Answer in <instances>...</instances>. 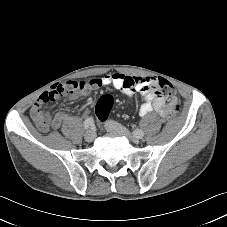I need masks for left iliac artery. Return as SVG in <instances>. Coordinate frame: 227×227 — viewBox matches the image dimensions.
Listing matches in <instances>:
<instances>
[{
    "label": "left iliac artery",
    "mask_w": 227,
    "mask_h": 227,
    "mask_svg": "<svg viewBox=\"0 0 227 227\" xmlns=\"http://www.w3.org/2000/svg\"><path fill=\"white\" fill-rule=\"evenodd\" d=\"M133 135L136 137V138H142L144 136V132L140 129H136L134 132H133Z\"/></svg>",
    "instance_id": "1"
}]
</instances>
